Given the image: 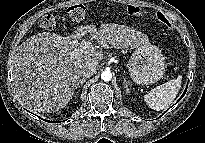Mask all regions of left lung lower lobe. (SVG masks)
Segmentation results:
<instances>
[{
	"label": "left lung lower lobe",
	"mask_w": 205,
	"mask_h": 143,
	"mask_svg": "<svg viewBox=\"0 0 205 143\" xmlns=\"http://www.w3.org/2000/svg\"><path fill=\"white\" fill-rule=\"evenodd\" d=\"M186 91H187V88L185 89V91H184L183 95L181 96V98L185 95ZM181 98H180V99H181ZM180 99H179V100H180ZM179 100H178V101H179Z\"/></svg>",
	"instance_id": "0a47b994"
}]
</instances>
